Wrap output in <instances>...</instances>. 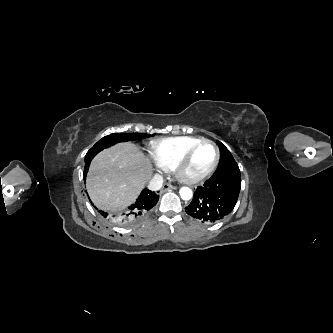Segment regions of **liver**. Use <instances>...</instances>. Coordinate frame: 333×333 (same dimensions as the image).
<instances>
[{
    "label": "liver",
    "mask_w": 333,
    "mask_h": 333,
    "mask_svg": "<svg viewBox=\"0 0 333 333\" xmlns=\"http://www.w3.org/2000/svg\"><path fill=\"white\" fill-rule=\"evenodd\" d=\"M151 163L130 142L118 143L97 154L87 176V191L94 205L110 212L135 202L151 174Z\"/></svg>",
    "instance_id": "1"
}]
</instances>
